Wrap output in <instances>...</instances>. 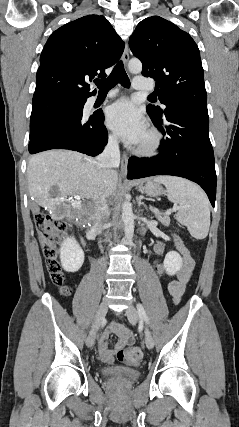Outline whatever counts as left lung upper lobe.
Listing matches in <instances>:
<instances>
[{
  "label": "left lung upper lobe",
  "instance_id": "obj_1",
  "mask_svg": "<svg viewBox=\"0 0 239 427\" xmlns=\"http://www.w3.org/2000/svg\"><path fill=\"white\" fill-rule=\"evenodd\" d=\"M129 46L143 63L142 74L156 80L158 99L166 106L148 105V113L162 118L169 109H181L208 115L200 53L188 33L152 16L137 25Z\"/></svg>",
  "mask_w": 239,
  "mask_h": 427
}]
</instances>
